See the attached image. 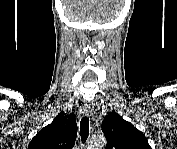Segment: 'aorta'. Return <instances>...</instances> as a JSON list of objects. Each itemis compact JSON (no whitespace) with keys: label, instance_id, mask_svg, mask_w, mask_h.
Listing matches in <instances>:
<instances>
[{"label":"aorta","instance_id":"1","mask_svg":"<svg viewBox=\"0 0 177 149\" xmlns=\"http://www.w3.org/2000/svg\"><path fill=\"white\" fill-rule=\"evenodd\" d=\"M106 143V140L103 136L93 137L88 145V149H102Z\"/></svg>","mask_w":177,"mask_h":149}]
</instances>
